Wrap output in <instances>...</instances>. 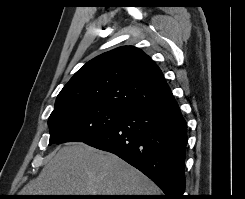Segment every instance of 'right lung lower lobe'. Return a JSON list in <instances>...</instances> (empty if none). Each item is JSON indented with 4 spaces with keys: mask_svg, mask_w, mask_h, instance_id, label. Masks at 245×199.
I'll return each mask as SVG.
<instances>
[{
    "mask_svg": "<svg viewBox=\"0 0 245 199\" xmlns=\"http://www.w3.org/2000/svg\"><path fill=\"white\" fill-rule=\"evenodd\" d=\"M84 143L139 169L165 193L164 199L183 198L187 125L172 94L131 110L119 123Z\"/></svg>",
    "mask_w": 245,
    "mask_h": 199,
    "instance_id": "right-lung-lower-lobe-1",
    "label": "right lung lower lobe"
}]
</instances>
